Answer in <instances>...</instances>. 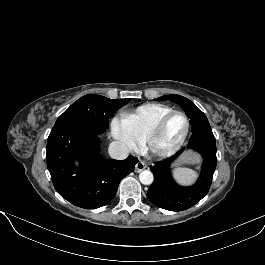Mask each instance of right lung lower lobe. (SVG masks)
Here are the masks:
<instances>
[{
	"label": "right lung lower lobe",
	"mask_w": 265,
	"mask_h": 265,
	"mask_svg": "<svg viewBox=\"0 0 265 265\" xmlns=\"http://www.w3.org/2000/svg\"><path fill=\"white\" fill-rule=\"evenodd\" d=\"M103 131L95 124L71 121L54 125L48 137L46 159L53 185L64 199L81 208L108 203L138 162L133 156L122 161L102 158L98 135Z\"/></svg>",
	"instance_id": "obj_1"
}]
</instances>
